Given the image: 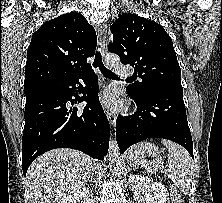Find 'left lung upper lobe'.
<instances>
[{"label": "left lung upper lobe", "instance_id": "1", "mask_svg": "<svg viewBox=\"0 0 222 203\" xmlns=\"http://www.w3.org/2000/svg\"><path fill=\"white\" fill-rule=\"evenodd\" d=\"M113 43L108 50L123 64L135 67L142 81L128 85L126 91L141 97L149 91L170 87L183 90L172 40L164 28L138 15L122 14L111 26Z\"/></svg>", "mask_w": 222, "mask_h": 203}]
</instances>
